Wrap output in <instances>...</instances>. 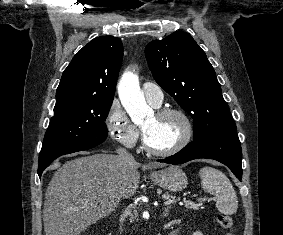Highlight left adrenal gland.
Segmentation results:
<instances>
[{
  "instance_id": "a2214340",
  "label": "left adrenal gland",
  "mask_w": 283,
  "mask_h": 235,
  "mask_svg": "<svg viewBox=\"0 0 283 235\" xmlns=\"http://www.w3.org/2000/svg\"><path fill=\"white\" fill-rule=\"evenodd\" d=\"M170 208H171V206H167V207L164 208L163 216H168Z\"/></svg>"
}]
</instances>
